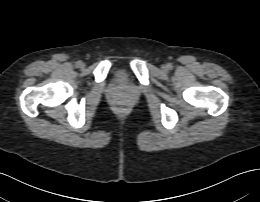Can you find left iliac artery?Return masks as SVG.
I'll return each mask as SVG.
<instances>
[{"mask_svg":"<svg viewBox=\"0 0 260 202\" xmlns=\"http://www.w3.org/2000/svg\"><path fill=\"white\" fill-rule=\"evenodd\" d=\"M167 68H168V69H171V68H172V65L169 63V64L167 65Z\"/></svg>","mask_w":260,"mask_h":202,"instance_id":"44dca946","label":"left iliac artery"}]
</instances>
